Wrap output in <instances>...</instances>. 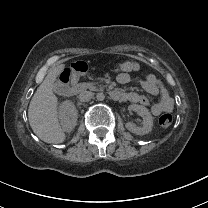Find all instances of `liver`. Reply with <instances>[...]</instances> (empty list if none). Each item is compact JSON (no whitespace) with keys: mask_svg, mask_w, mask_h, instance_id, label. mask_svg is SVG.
Instances as JSON below:
<instances>
[{"mask_svg":"<svg viewBox=\"0 0 208 208\" xmlns=\"http://www.w3.org/2000/svg\"><path fill=\"white\" fill-rule=\"evenodd\" d=\"M65 67V64H59L49 69L28 108V120L33 132L48 144H61L66 139L58 119V97L54 93L55 82Z\"/></svg>","mask_w":208,"mask_h":208,"instance_id":"1","label":"liver"}]
</instances>
